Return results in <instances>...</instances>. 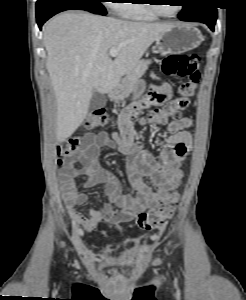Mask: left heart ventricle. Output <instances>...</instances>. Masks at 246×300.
Wrapping results in <instances>:
<instances>
[{"instance_id": "left-heart-ventricle-1", "label": "left heart ventricle", "mask_w": 246, "mask_h": 300, "mask_svg": "<svg viewBox=\"0 0 246 300\" xmlns=\"http://www.w3.org/2000/svg\"><path fill=\"white\" fill-rule=\"evenodd\" d=\"M162 2L164 3H172L174 5H160L161 10L166 13V14H173L175 13V11L178 9V5H175V1H171V0H162Z\"/></svg>"}]
</instances>
